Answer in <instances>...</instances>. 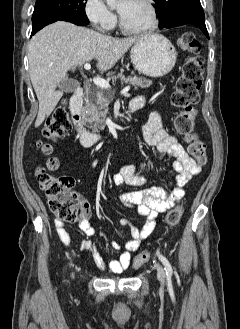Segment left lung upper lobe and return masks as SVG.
<instances>
[{
    "mask_svg": "<svg viewBox=\"0 0 240 329\" xmlns=\"http://www.w3.org/2000/svg\"><path fill=\"white\" fill-rule=\"evenodd\" d=\"M160 28L179 18L205 19L200 0H154Z\"/></svg>",
    "mask_w": 240,
    "mask_h": 329,
    "instance_id": "1",
    "label": "left lung upper lobe"
}]
</instances>
